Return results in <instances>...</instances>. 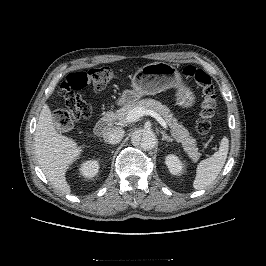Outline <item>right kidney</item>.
Wrapping results in <instances>:
<instances>
[{
  "label": "right kidney",
  "instance_id": "1",
  "mask_svg": "<svg viewBox=\"0 0 266 266\" xmlns=\"http://www.w3.org/2000/svg\"><path fill=\"white\" fill-rule=\"evenodd\" d=\"M99 170V160H89L83 162L79 168L80 174L85 178H92L94 177Z\"/></svg>",
  "mask_w": 266,
  "mask_h": 266
}]
</instances>
